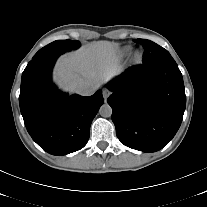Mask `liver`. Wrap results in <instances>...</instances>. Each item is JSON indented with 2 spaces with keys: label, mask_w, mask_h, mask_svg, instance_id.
Listing matches in <instances>:
<instances>
[{
  "label": "liver",
  "mask_w": 207,
  "mask_h": 207,
  "mask_svg": "<svg viewBox=\"0 0 207 207\" xmlns=\"http://www.w3.org/2000/svg\"><path fill=\"white\" fill-rule=\"evenodd\" d=\"M117 47L112 42L98 41L61 56L54 68V80L71 92L83 82L99 87L120 68Z\"/></svg>",
  "instance_id": "liver-1"
}]
</instances>
